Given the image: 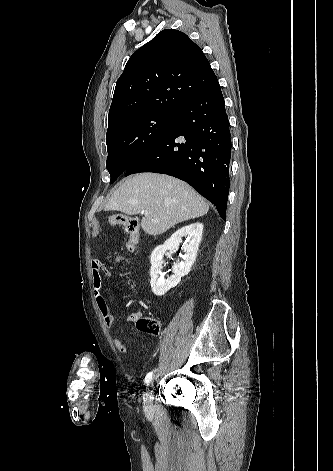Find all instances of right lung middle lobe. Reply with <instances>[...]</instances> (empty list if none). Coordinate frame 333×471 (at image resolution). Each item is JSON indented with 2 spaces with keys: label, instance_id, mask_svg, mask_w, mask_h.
Listing matches in <instances>:
<instances>
[{
  "label": "right lung middle lobe",
  "instance_id": "obj_1",
  "mask_svg": "<svg viewBox=\"0 0 333 471\" xmlns=\"http://www.w3.org/2000/svg\"><path fill=\"white\" fill-rule=\"evenodd\" d=\"M175 113L144 111L122 117L106 134V168L113 183L173 123Z\"/></svg>",
  "mask_w": 333,
  "mask_h": 471
}]
</instances>
